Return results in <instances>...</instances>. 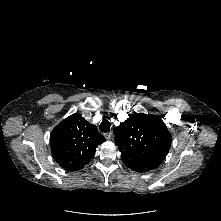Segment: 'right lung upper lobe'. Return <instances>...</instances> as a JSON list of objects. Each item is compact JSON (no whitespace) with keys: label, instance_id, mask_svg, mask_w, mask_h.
<instances>
[{"label":"right lung upper lobe","instance_id":"1","mask_svg":"<svg viewBox=\"0 0 221 221\" xmlns=\"http://www.w3.org/2000/svg\"><path fill=\"white\" fill-rule=\"evenodd\" d=\"M104 141L96 126L78 114L64 119L50 136L54 159L69 171L83 168L94 156L97 146Z\"/></svg>","mask_w":221,"mask_h":221}]
</instances>
